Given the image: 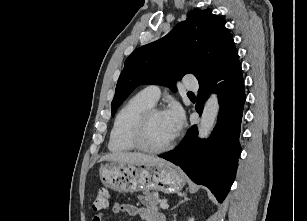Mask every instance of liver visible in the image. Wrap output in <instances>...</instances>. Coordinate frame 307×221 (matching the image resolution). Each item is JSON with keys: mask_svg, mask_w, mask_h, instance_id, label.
I'll list each match as a JSON object with an SVG mask.
<instances>
[{"mask_svg": "<svg viewBox=\"0 0 307 221\" xmlns=\"http://www.w3.org/2000/svg\"><path fill=\"white\" fill-rule=\"evenodd\" d=\"M100 161H111L128 164H146L163 162L164 160L155 156H150L135 152H115L103 156Z\"/></svg>", "mask_w": 307, "mask_h": 221, "instance_id": "obj_1", "label": "liver"}]
</instances>
